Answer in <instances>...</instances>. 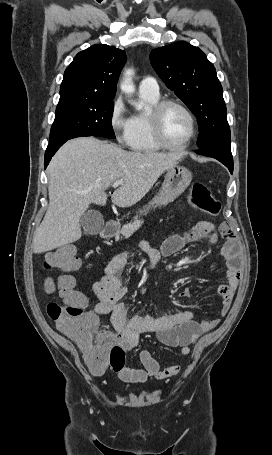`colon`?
Instances as JSON below:
<instances>
[{
    "instance_id": "1",
    "label": "colon",
    "mask_w": 272,
    "mask_h": 455,
    "mask_svg": "<svg viewBox=\"0 0 272 455\" xmlns=\"http://www.w3.org/2000/svg\"><path fill=\"white\" fill-rule=\"evenodd\" d=\"M190 203L211 216L218 215L220 210L219 202L201 182L193 184ZM79 264L77 249L71 244L63 245L46 255L45 269L58 273L59 277L57 280L46 277L43 280V287L47 293L62 299V302H49L47 314L56 321L64 334L80 346L90 369L95 372H102L108 368L117 371L124 367V349L119 344L95 334L97 320L85 311L86 299L74 290V280L71 277V273L78 269Z\"/></svg>"
}]
</instances>
